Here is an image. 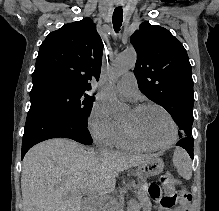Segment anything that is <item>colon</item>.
Segmentation results:
<instances>
[{
  "label": "colon",
  "instance_id": "colon-1",
  "mask_svg": "<svg viewBox=\"0 0 219 211\" xmlns=\"http://www.w3.org/2000/svg\"><path fill=\"white\" fill-rule=\"evenodd\" d=\"M160 184L162 185L167 197L175 202L176 196L174 194L175 187L179 185V180L175 178L170 172L164 173L160 177ZM189 197V194L183 190L180 194V202Z\"/></svg>",
  "mask_w": 219,
  "mask_h": 211
}]
</instances>
